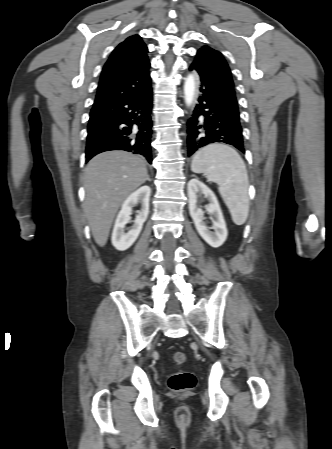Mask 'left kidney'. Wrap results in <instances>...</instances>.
Instances as JSON below:
<instances>
[{"label":"left kidney","mask_w":332,"mask_h":449,"mask_svg":"<svg viewBox=\"0 0 332 449\" xmlns=\"http://www.w3.org/2000/svg\"><path fill=\"white\" fill-rule=\"evenodd\" d=\"M204 196L209 204L206 205V211L213 217V229L210 231L204 222V212L198 205V199ZM189 212L193 219L199 235L212 247H220L227 238L226 223L213 191L198 179H191L188 182Z\"/></svg>","instance_id":"obj_1"}]
</instances>
